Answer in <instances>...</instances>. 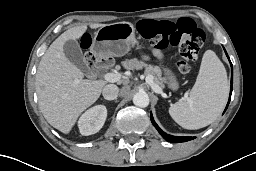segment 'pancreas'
Returning <instances> with one entry per match:
<instances>
[{"label": "pancreas", "instance_id": "1", "mask_svg": "<svg viewBox=\"0 0 256 171\" xmlns=\"http://www.w3.org/2000/svg\"><path fill=\"white\" fill-rule=\"evenodd\" d=\"M122 64L126 69H129V70L142 69L143 67H145L146 75L151 76L153 78V82L156 85L160 87L164 86V80L161 77V71L157 67L148 66L144 62L138 61L137 59L127 60V61H124Z\"/></svg>", "mask_w": 256, "mask_h": 171}]
</instances>
